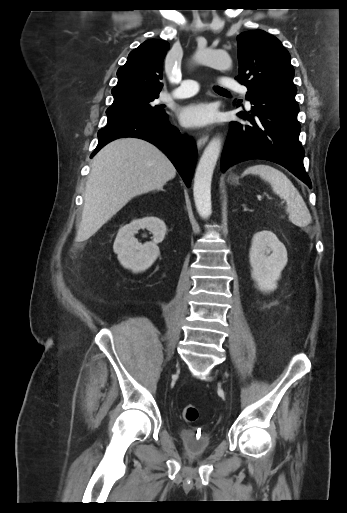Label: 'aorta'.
Returning a JSON list of instances; mask_svg holds the SVG:
<instances>
[{
  "label": "aorta",
  "mask_w": 347,
  "mask_h": 513,
  "mask_svg": "<svg viewBox=\"0 0 347 513\" xmlns=\"http://www.w3.org/2000/svg\"><path fill=\"white\" fill-rule=\"evenodd\" d=\"M194 61L218 70H229L232 66L230 55L221 50L198 48L194 55ZM221 147L220 137L212 138L206 146L196 169L193 195L196 209L202 218H208L212 213L211 182Z\"/></svg>",
  "instance_id": "aorta-1"
}]
</instances>
